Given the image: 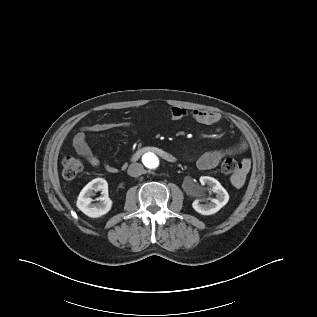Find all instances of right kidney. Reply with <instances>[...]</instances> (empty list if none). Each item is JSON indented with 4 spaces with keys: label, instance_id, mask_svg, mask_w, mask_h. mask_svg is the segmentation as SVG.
<instances>
[{
    "label": "right kidney",
    "instance_id": "1",
    "mask_svg": "<svg viewBox=\"0 0 317 317\" xmlns=\"http://www.w3.org/2000/svg\"><path fill=\"white\" fill-rule=\"evenodd\" d=\"M94 191H101L99 202L92 204L91 196ZM77 207L87 216L97 218L108 213L112 207V200L108 196V183L103 178H96L89 182L80 192Z\"/></svg>",
    "mask_w": 317,
    "mask_h": 317
}]
</instances>
